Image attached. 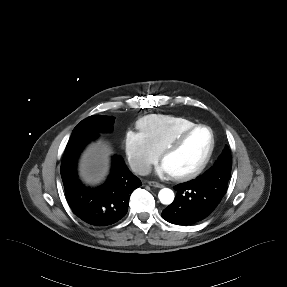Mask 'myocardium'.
I'll return each mask as SVG.
<instances>
[{"instance_id": "f54148a6", "label": "myocardium", "mask_w": 287, "mask_h": 287, "mask_svg": "<svg viewBox=\"0 0 287 287\" xmlns=\"http://www.w3.org/2000/svg\"><path fill=\"white\" fill-rule=\"evenodd\" d=\"M204 128L209 131L211 142L209 149L207 151V154L205 155L204 159L201 161V163L192 171L184 174H178V175H170V177L175 181H188L191 179H194L195 177L199 176L207 167L209 162L212 159L214 150H215V134L213 132V129L205 124H196L182 132H180L169 144L166 145V147L162 150L160 155V160L163 161L169 154L176 151L183 142L196 130Z\"/></svg>"}]
</instances>
